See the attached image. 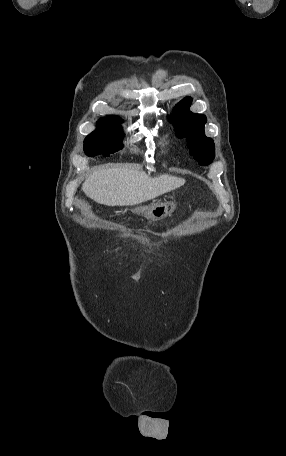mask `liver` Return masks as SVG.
Wrapping results in <instances>:
<instances>
[{
	"mask_svg": "<svg viewBox=\"0 0 286 456\" xmlns=\"http://www.w3.org/2000/svg\"><path fill=\"white\" fill-rule=\"evenodd\" d=\"M185 184V179L163 174L148 178L142 170L130 167L100 169L89 175L83 192L107 206H132L154 199Z\"/></svg>",
	"mask_w": 286,
	"mask_h": 456,
	"instance_id": "1",
	"label": "liver"
}]
</instances>
